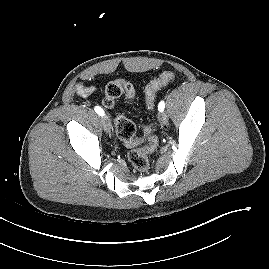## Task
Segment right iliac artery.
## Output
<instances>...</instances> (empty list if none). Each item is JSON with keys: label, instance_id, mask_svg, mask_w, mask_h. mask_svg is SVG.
<instances>
[{"label": "right iliac artery", "instance_id": "right-iliac-artery-1", "mask_svg": "<svg viewBox=\"0 0 269 269\" xmlns=\"http://www.w3.org/2000/svg\"><path fill=\"white\" fill-rule=\"evenodd\" d=\"M94 110L98 115L104 116V111H103V109L101 107L95 106Z\"/></svg>", "mask_w": 269, "mask_h": 269}]
</instances>
